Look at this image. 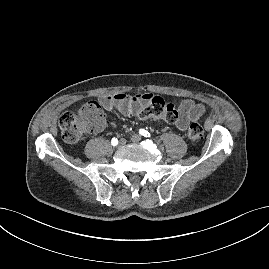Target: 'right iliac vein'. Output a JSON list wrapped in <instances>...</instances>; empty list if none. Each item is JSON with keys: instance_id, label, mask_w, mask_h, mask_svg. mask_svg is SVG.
Masks as SVG:
<instances>
[{"instance_id": "63e3f726", "label": "right iliac vein", "mask_w": 269, "mask_h": 269, "mask_svg": "<svg viewBox=\"0 0 269 269\" xmlns=\"http://www.w3.org/2000/svg\"><path fill=\"white\" fill-rule=\"evenodd\" d=\"M126 144V141L124 139H121L120 141H118L116 143V146H115V150H118V148H121L122 146H124Z\"/></svg>"}]
</instances>
